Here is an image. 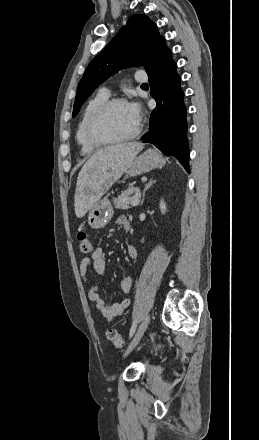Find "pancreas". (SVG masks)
Here are the masks:
<instances>
[{
	"label": "pancreas",
	"mask_w": 259,
	"mask_h": 440,
	"mask_svg": "<svg viewBox=\"0 0 259 440\" xmlns=\"http://www.w3.org/2000/svg\"><path fill=\"white\" fill-rule=\"evenodd\" d=\"M139 191L136 187H131L123 191L118 198L114 200V205L117 209L126 210L129 209L131 202L136 199V196H131L134 193H137Z\"/></svg>",
	"instance_id": "cf45deb5"
}]
</instances>
